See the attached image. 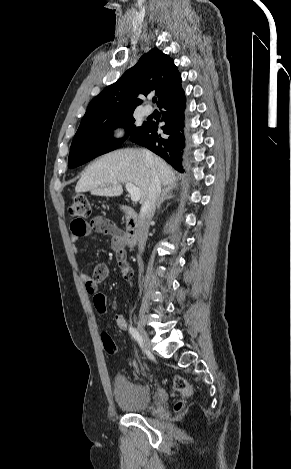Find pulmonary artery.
I'll use <instances>...</instances> for the list:
<instances>
[{
    "label": "pulmonary artery",
    "instance_id": "e3ab8cb5",
    "mask_svg": "<svg viewBox=\"0 0 291 469\" xmlns=\"http://www.w3.org/2000/svg\"><path fill=\"white\" fill-rule=\"evenodd\" d=\"M152 112H153L152 108L148 105L143 108V113L145 115H150V114H152Z\"/></svg>",
    "mask_w": 291,
    "mask_h": 469
}]
</instances>
